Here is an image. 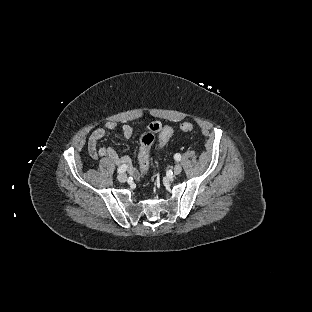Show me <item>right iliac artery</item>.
I'll return each instance as SVG.
<instances>
[{
    "instance_id": "right-iliac-artery-1",
    "label": "right iliac artery",
    "mask_w": 312,
    "mask_h": 312,
    "mask_svg": "<svg viewBox=\"0 0 312 312\" xmlns=\"http://www.w3.org/2000/svg\"><path fill=\"white\" fill-rule=\"evenodd\" d=\"M127 170V166L124 164L117 169L118 173H124Z\"/></svg>"
}]
</instances>
